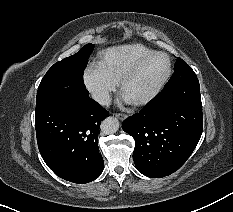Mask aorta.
Segmentation results:
<instances>
[{"label": "aorta", "instance_id": "1", "mask_svg": "<svg viewBox=\"0 0 233 212\" xmlns=\"http://www.w3.org/2000/svg\"><path fill=\"white\" fill-rule=\"evenodd\" d=\"M119 121L115 117L106 118L101 124V131L105 135L113 134L119 129Z\"/></svg>", "mask_w": 233, "mask_h": 212}]
</instances>
